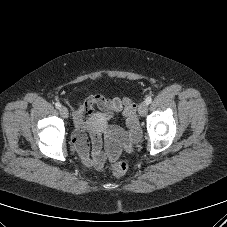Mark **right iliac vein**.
<instances>
[{"label": "right iliac vein", "instance_id": "right-iliac-vein-1", "mask_svg": "<svg viewBox=\"0 0 227 227\" xmlns=\"http://www.w3.org/2000/svg\"><path fill=\"white\" fill-rule=\"evenodd\" d=\"M59 112L63 118H68V110L66 107H60Z\"/></svg>", "mask_w": 227, "mask_h": 227}]
</instances>
